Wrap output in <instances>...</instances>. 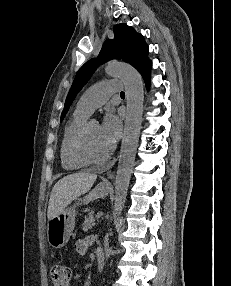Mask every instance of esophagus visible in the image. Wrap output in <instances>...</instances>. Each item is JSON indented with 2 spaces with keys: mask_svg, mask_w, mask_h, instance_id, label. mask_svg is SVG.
Here are the masks:
<instances>
[{
  "mask_svg": "<svg viewBox=\"0 0 231 286\" xmlns=\"http://www.w3.org/2000/svg\"><path fill=\"white\" fill-rule=\"evenodd\" d=\"M108 178H109L110 180H112V178H113V174H112V173H108ZM105 183H106V184H109V182H108V181H106Z\"/></svg>",
  "mask_w": 231,
  "mask_h": 286,
  "instance_id": "esophagus-1",
  "label": "esophagus"
}]
</instances>
